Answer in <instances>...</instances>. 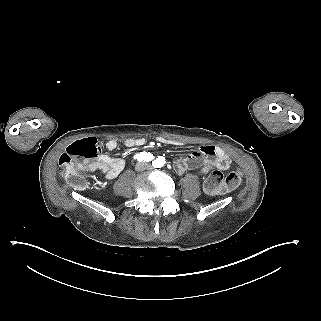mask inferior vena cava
I'll return each mask as SVG.
<instances>
[{"instance_id":"inferior-vena-cava-1","label":"inferior vena cava","mask_w":321,"mask_h":321,"mask_svg":"<svg viewBox=\"0 0 321 321\" xmlns=\"http://www.w3.org/2000/svg\"><path fill=\"white\" fill-rule=\"evenodd\" d=\"M137 169L139 171H149L151 169V164L149 162H139L137 164Z\"/></svg>"}]
</instances>
